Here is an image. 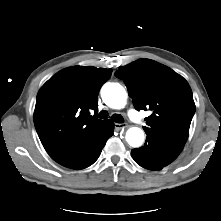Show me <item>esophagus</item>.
Masks as SVG:
<instances>
[{"instance_id": "1", "label": "esophagus", "mask_w": 221, "mask_h": 221, "mask_svg": "<svg viewBox=\"0 0 221 221\" xmlns=\"http://www.w3.org/2000/svg\"><path fill=\"white\" fill-rule=\"evenodd\" d=\"M115 130H117V131H119V130H121V129H124V128H126L127 127V124H125V123H115Z\"/></svg>"}]
</instances>
